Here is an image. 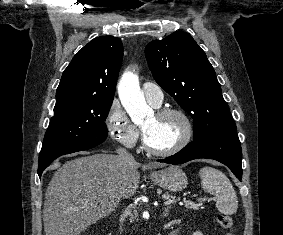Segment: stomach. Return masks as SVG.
I'll use <instances>...</instances> for the list:
<instances>
[{
  "label": "stomach",
  "mask_w": 283,
  "mask_h": 235,
  "mask_svg": "<svg viewBox=\"0 0 283 235\" xmlns=\"http://www.w3.org/2000/svg\"><path fill=\"white\" fill-rule=\"evenodd\" d=\"M150 179L158 186L170 191H181L187 186L186 174L177 166L152 171Z\"/></svg>",
  "instance_id": "stomach-1"
}]
</instances>
